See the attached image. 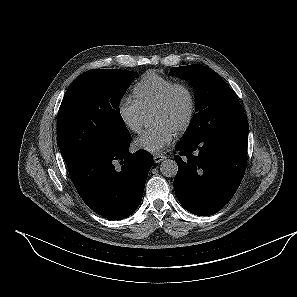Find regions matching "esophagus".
<instances>
[{
    "label": "esophagus",
    "mask_w": 297,
    "mask_h": 297,
    "mask_svg": "<svg viewBox=\"0 0 297 297\" xmlns=\"http://www.w3.org/2000/svg\"><path fill=\"white\" fill-rule=\"evenodd\" d=\"M164 159H166L165 155H154V157H153V160H154L155 163H160Z\"/></svg>",
    "instance_id": "34e87169"
}]
</instances>
